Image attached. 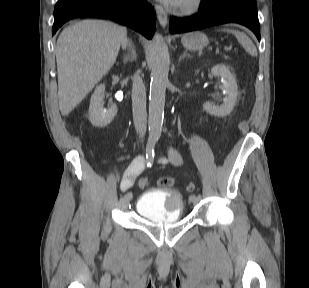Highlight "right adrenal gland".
<instances>
[{"mask_svg":"<svg viewBox=\"0 0 309 288\" xmlns=\"http://www.w3.org/2000/svg\"><path fill=\"white\" fill-rule=\"evenodd\" d=\"M136 50L135 47L133 45V43L131 41H129V53H127L124 58H123V62L124 64H127L128 62H132L136 59Z\"/></svg>","mask_w":309,"mask_h":288,"instance_id":"obj_1","label":"right adrenal gland"}]
</instances>
